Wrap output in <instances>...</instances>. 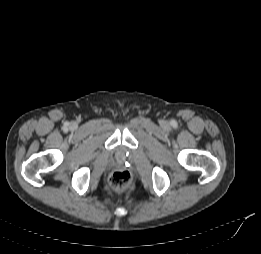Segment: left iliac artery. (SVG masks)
Returning a JSON list of instances; mask_svg holds the SVG:
<instances>
[{"mask_svg": "<svg viewBox=\"0 0 261 254\" xmlns=\"http://www.w3.org/2000/svg\"><path fill=\"white\" fill-rule=\"evenodd\" d=\"M176 125H177V123H176V122H174V123H173V126L175 127Z\"/></svg>", "mask_w": 261, "mask_h": 254, "instance_id": "1", "label": "left iliac artery"}]
</instances>
